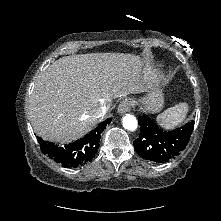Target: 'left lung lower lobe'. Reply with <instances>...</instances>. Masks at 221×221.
<instances>
[{"label":"left lung lower lobe","instance_id":"left-lung-lower-lobe-1","mask_svg":"<svg viewBox=\"0 0 221 221\" xmlns=\"http://www.w3.org/2000/svg\"><path fill=\"white\" fill-rule=\"evenodd\" d=\"M140 135L133 142L136 152L143 159L163 163L177 156L188 144L194 121L172 131L159 128L148 116L138 117Z\"/></svg>","mask_w":221,"mask_h":221}]
</instances>
